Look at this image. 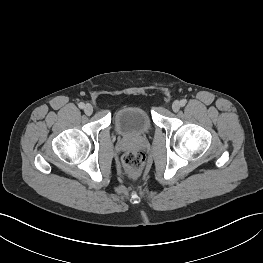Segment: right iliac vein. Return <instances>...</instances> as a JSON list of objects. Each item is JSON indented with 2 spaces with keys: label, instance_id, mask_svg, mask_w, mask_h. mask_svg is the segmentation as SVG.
Segmentation results:
<instances>
[{
  "label": "right iliac vein",
  "instance_id": "63e3f726",
  "mask_svg": "<svg viewBox=\"0 0 263 263\" xmlns=\"http://www.w3.org/2000/svg\"><path fill=\"white\" fill-rule=\"evenodd\" d=\"M84 112H85V114H87V115H91V114L93 113V107H92V105H91V104H86V105L84 106Z\"/></svg>",
  "mask_w": 263,
  "mask_h": 263
}]
</instances>
